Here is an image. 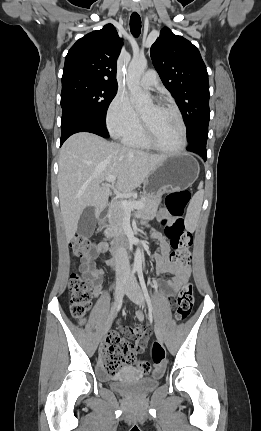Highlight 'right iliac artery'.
<instances>
[{
	"mask_svg": "<svg viewBox=\"0 0 261 431\" xmlns=\"http://www.w3.org/2000/svg\"><path fill=\"white\" fill-rule=\"evenodd\" d=\"M135 272H136V269L134 268V269L132 270V272H131V274H130L129 278H128L127 284H128V283H129V281L134 277Z\"/></svg>",
	"mask_w": 261,
	"mask_h": 431,
	"instance_id": "1",
	"label": "right iliac artery"
}]
</instances>
